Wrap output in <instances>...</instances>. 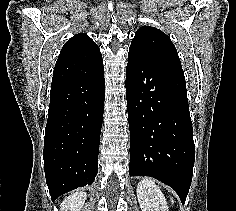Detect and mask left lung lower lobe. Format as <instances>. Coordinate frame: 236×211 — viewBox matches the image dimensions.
<instances>
[{
    "label": "left lung lower lobe",
    "instance_id": "obj_1",
    "mask_svg": "<svg viewBox=\"0 0 236 211\" xmlns=\"http://www.w3.org/2000/svg\"><path fill=\"white\" fill-rule=\"evenodd\" d=\"M126 99L130 176H151L185 202L195 148L184 73L128 55Z\"/></svg>",
    "mask_w": 236,
    "mask_h": 211
}]
</instances>
